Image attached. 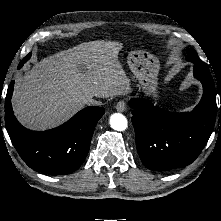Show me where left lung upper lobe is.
<instances>
[{"label":"left lung upper lobe","instance_id":"left-lung-upper-lobe-1","mask_svg":"<svg viewBox=\"0 0 221 221\" xmlns=\"http://www.w3.org/2000/svg\"><path fill=\"white\" fill-rule=\"evenodd\" d=\"M187 53H188L187 59L189 61H192L193 63H195V62H202L200 60V58L198 57L197 53L195 52V50L190 49V50L187 51Z\"/></svg>","mask_w":221,"mask_h":221}]
</instances>
